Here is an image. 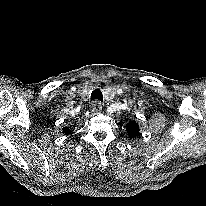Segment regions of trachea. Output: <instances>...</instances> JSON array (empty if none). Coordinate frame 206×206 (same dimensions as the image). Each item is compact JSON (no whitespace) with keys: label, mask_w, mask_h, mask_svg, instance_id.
Masks as SVG:
<instances>
[{"label":"trachea","mask_w":206,"mask_h":206,"mask_svg":"<svg viewBox=\"0 0 206 206\" xmlns=\"http://www.w3.org/2000/svg\"><path fill=\"white\" fill-rule=\"evenodd\" d=\"M94 100H97L100 102H102V100H103V94H102L101 90L98 88L93 90L91 93V101H94Z\"/></svg>","instance_id":"obj_1"}]
</instances>
